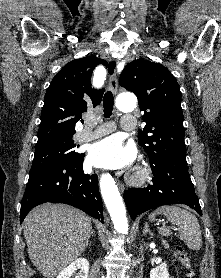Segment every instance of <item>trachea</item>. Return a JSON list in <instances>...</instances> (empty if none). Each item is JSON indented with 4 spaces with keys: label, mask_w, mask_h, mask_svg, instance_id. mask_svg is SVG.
Listing matches in <instances>:
<instances>
[{
    "label": "trachea",
    "mask_w": 221,
    "mask_h": 278,
    "mask_svg": "<svg viewBox=\"0 0 221 278\" xmlns=\"http://www.w3.org/2000/svg\"><path fill=\"white\" fill-rule=\"evenodd\" d=\"M114 98L111 91H107L103 98L104 117L109 118L112 115Z\"/></svg>",
    "instance_id": "3493384b"
}]
</instances>
